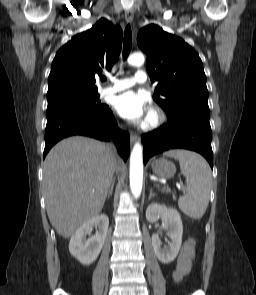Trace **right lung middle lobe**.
Masks as SVG:
<instances>
[{
    "label": "right lung middle lobe",
    "instance_id": "right-lung-middle-lobe-1",
    "mask_svg": "<svg viewBox=\"0 0 256 295\" xmlns=\"http://www.w3.org/2000/svg\"><path fill=\"white\" fill-rule=\"evenodd\" d=\"M98 93H68L53 100H48V105H73L85 109H100L101 104Z\"/></svg>",
    "mask_w": 256,
    "mask_h": 295
}]
</instances>
